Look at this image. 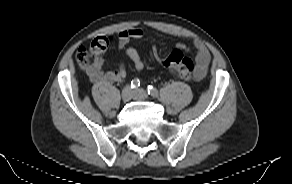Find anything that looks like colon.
<instances>
[{
  "instance_id": "5ec220e1",
  "label": "colon",
  "mask_w": 292,
  "mask_h": 184,
  "mask_svg": "<svg viewBox=\"0 0 292 184\" xmlns=\"http://www.w3.org/2000/svg\"><path fill=\"white\" fill-rule=\"evenodd\" d=\"M110 41V38L100 36L93 39L88 48L80 46L76 52V60L79 66L83 69H88L91 65L92 59H95L105 53ZM150 54L163 66L173 69L180 77L186 80L192 79L195 71V65L190 58L184 55L183 50L175 48L163 58L159 55L157 46L153 44L150 47Z\"/></svg>"
}]
</instances>
